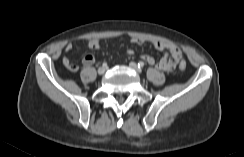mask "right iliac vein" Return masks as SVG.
<instances>
[{
    "label": "right iliac vein",
    "instance_id": "1",
    "mask_svg": "<svg viewBox=\"0 0 244 157\" xmlns=\"http://www.w3.org/2000/svg\"><path fill=\"white\" fill-rule=\"evenodd\" d=\"M105 71H106V68L104 66L98 68V74L99 75H103L105 73Z\"/></svg>",
    "mask_w": 244,
    "mask_h": 157
}]
</instances>
